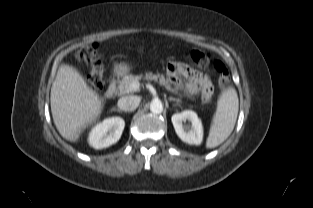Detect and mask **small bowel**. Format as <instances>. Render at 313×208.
<instances>
[{
	"label": "small bowel",
	"instance_id": "obj_1",
	"mask_svg": "<svg viewBox=\"0 0 313 208\" xmlns=\"http://www.w3.org/2000/svg\"><path fill=\"white\" fill-rule=\"evenodd\" d=\"M167 73L177 86H181V78H185L184 88L188 94H200L204 101H209L212 98L214 92L212 82L203 73L179 62H170L167 66Z\"/></svg>",
	"mask_w": 313,
	"mask_h": 208
}]
</instances>
